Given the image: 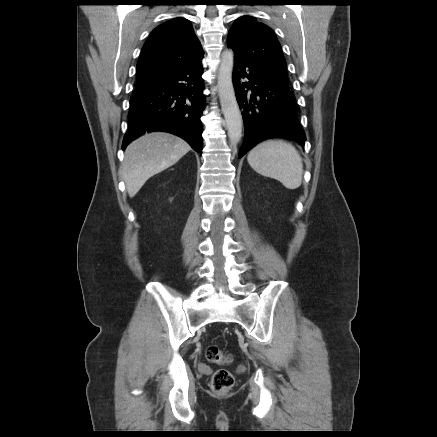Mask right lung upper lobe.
<instances>
[{
    "label": "right lung upper lobe",
    "instance_id": "cb5924a9",
    "mask_svg": "<svg viewBox=\"0 0 437 437\" xmlns=\"http://www.w3.org/2000/svg\"><path fill=\"white\" fill-rule=\"evenodd\" d=\"M202 57V46L190 22L174 18L155 28L145 42L137 64V81L150 83Z\"/></svg>",
    "mask_w": 437,
    "mask_h": 437
}]
</instances>
